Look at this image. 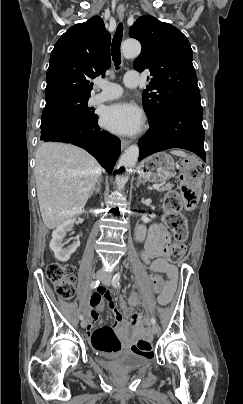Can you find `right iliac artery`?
I'll use <instances>...</instances> for the list:
<instances>
[{"label":"right iliac artery","mask_w":243,"mask_h":404,"mask_svg":"<svg viewBox=\"0 0 243 404\" xmlns=\"http://www.w3.org/2000/svg\"><path fill=\"white\" fill-rule=\"evenodd\" d=\"M99 283H100L99 280L93 281L91 283V285H90V288L95 289L96 287H98ZM79 319L83 320V315L82 314L79 315Z\"/></svg>","instance_id":"1"}]
</instances>
